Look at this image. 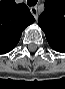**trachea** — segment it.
I'll list each match as a JSON object with an SVG mask.
<instances>
[{
	"mask_svg": "<svg viewBox=\"0 0 65 89\" xmlns=\"http://www.w3.org/2000/svg\"><path fill=\"white\" fill-rule=\"evenodd\" d=\"M37 1L38 0H27V4H28V6H35L36 4H37Z\"/></svg>",
	"mask_w": 65,
	"mask_h": 89,
	"instance_id": "obj_1",
	"label": "trachea"
}]
</instances>
